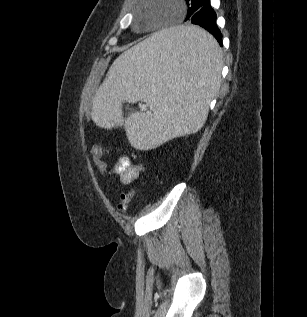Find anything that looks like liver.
I'll return each instance as SVG.
<instances>
[{
	"label": "liver",
	"mask_w": 307,
	"mask_h": 317,
	"mask_svg": "<svg viewBox=\"0 0 307 317\" xmlns=\"http://www.w3.org/2000/svg\"><path fill=\"white\" fill-rule=\"evenodd\" d=\"M99 77L95 75L92 79V82L90 83V88L91 89H99L100 88V83H99ZM91 99L89 100L91 103L94 101L93 98L95 97L93 94L90 96Z\"/></svg>",
	"instance_id": "1"
}]
</instances>
